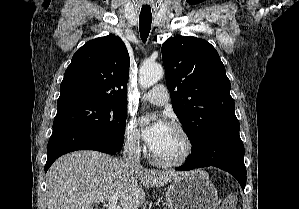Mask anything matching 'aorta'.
<instances>
[{"mask_svg": "<svg viewBox=\"0 0 299 209\" xmlns=\"http://www.w3.org/2000/svg\"><path fill=\"white\" fill-rule=\"evenodd\" d=\"M164 71L160 64L144 63L139 71V83L143 88H149L163 77Z\"/></svg>", "mask_w": 299, "mask_h": 209, "instance_id": "aorta-1", "label": "aorta"}]
</instances>
